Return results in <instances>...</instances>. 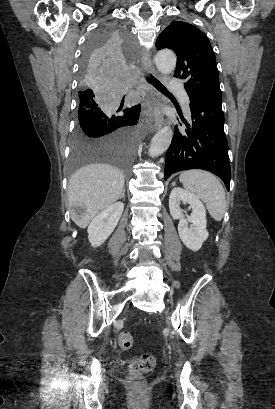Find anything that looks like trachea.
<instances>
[{
	"label": "trachea",
	"instance_id": "trachea-1",
	"mask_svg": "<svg viewBox=\"0 0 275 409\" xmlns=\"http://www.w3.org/2000/svg\"><path fill=\"white\" fill-rule=\"evenodd\" d=\"M146 80L151 83L152 85L155 86L160 91L168 92V90L162 85L159 80H157L155 77L151 76V74L146 75Z\"/></svg>",
	"mask_w": 275,
	"mask_h": 409
}]
</instances>
